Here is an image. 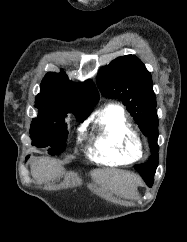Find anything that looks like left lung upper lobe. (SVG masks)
Masks as SVG:
<instances>
[{
  "label": "left lung upper lobe",
  "instance_id": "obj_1",
  "mask_svg": "<svg viewBox=\"0 0 187 242\" xmlns=\"http://www.w3.org/2000/svg\"><path fill=\"white\" fill-rule=\"evenodd\" d=\"M97 85L106 98L118 99L126 105L142 133L148 137L151 156L134 168L144 177H154L158 166V116L152 77L145 65L134 55L114 59L101 68Z\"/></svg>",
  "mask_w": 187,
  "mask_h": 242
}]
</instances>
